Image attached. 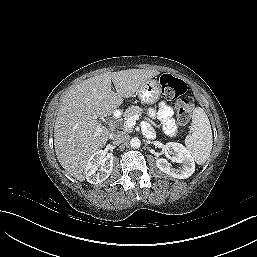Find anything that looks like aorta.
Listing matches in <instances>:
<instances>
[{"label":"aorta","instance_id":"aorta-1","mask_svg":"<svg viewBox=\"0 0 257 257\" xmlns=\"http://www.w3.org/2000/svg\"><path fill=\"white\" fill-rule=\"evenodd\" d=\"M130 146H131V148H133V149L139 148V147L141 146V141H140V139L137 138V137L132 138V139L130 140Z\"/></svg>","mask_w":257,"mask_h":257}]
</instances>
